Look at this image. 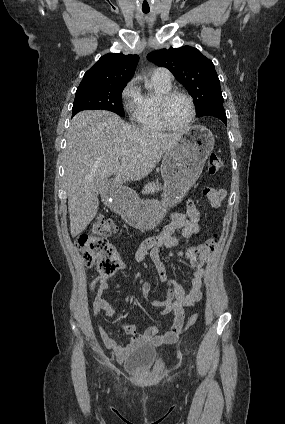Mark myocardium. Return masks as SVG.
I'll list each match as a JSON object with an SVG mask.
<instances>
[{
  "mask_svg": "<svg viewBox=\"0 0 285 424\" xmlns=\"http://www.w3.org/2000/svg\"><path fill=\"white\" fill-rule=\"evenodd\" d=\"M175 96L185 97L187 99V101L189 102L190 109H191V113H190L188 120L182 126L172 125L169 122V120L167 118V114H166L167 104ZM157 109H158V117H159V120L162 123V125L166 129L176 131V132L186 131L191 126V124L193 123V121L195 120V117H196V107H195V103L193 101V98L189 94H187L183 91H180V90H169V91L165 92L164 94H162L159 97Z\"/></svg>",
  "mask_w": 285,
  "mask_h": 424,
  "instance_id": "f54148a6",
  "label": "myocardium"
}]
</instances>
